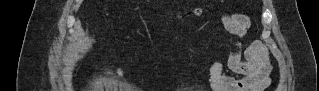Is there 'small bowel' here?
<instances>
[{"label":"small bowel","instance_id":"1","mask_svg":"<svg viewBox=\"0 0 319 91\" xmlns=\"http://www.w3.org/2000/svg\"><path fill=\"white\" fill-rule=\"evenodd\" d=\"M225 26L234 38L245 36L250 26L249 18L244 15H232L224 19ZM237 46L241 43L236 41ZM248 61L241 59L238 51L229 54L227 68L241 77H233L224 73L223 66L216 62H210L208 72L211 83L216 90L221 91H261L269 83L270 65L265 46L254 41L245 46ZM118 76L124 80V72L117 68Z\"/></svg>","mask_w":319,"mask_h":91}]
</instances>
